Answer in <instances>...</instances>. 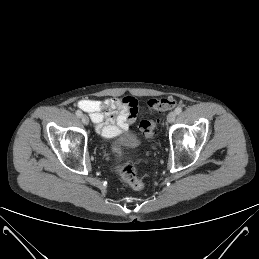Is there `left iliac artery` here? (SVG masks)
<instances>
[{"label":"left iliac artery","instance_id":"obj_1","mask_svg":"<svg viewBox=\"0 0 259 259\" xmlns=\"http://www.w3.org/2000/svg\"><path fill=\"white\" fill-rule=\"evenodd\" d=\"M181 112H182V108H181V107H177V108L175 109V113H176L177 115H179Z\"/></svg>","mask_w":259,"mask_h":259}]
</instances>
